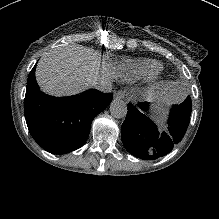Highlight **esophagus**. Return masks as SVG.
Wrapping results in <instances>:
<instances>
[{"mask_svg":"<svg viewBox=\"0 0 219 219\" xmlns=\"http://www.w3.org/2000/svg\"><path fill=\"white\" fill-rule=\"evenodd\" d=\"M114 100L124 99L125 93L123 91H118L113 96Z\"/></svg>","mask_w":219,"mask_h":219,"instance_id":"1","label":"esophagus"}]
</instances>
